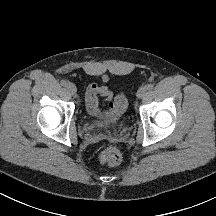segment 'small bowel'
Listing matches in <instances>:
<instances>
[{
	"label": "small bowel",
	"mask_w": 216,
	"mask_h": 216,
	"mask_svg": "<svg viewBox=\"0 0 216 216\" xmlns=\"http://www.w3.org/2000/svg\"><path fill=\"white\" fill-rule=\"evenodd\" d=\"M113 93L106 85H97L88 83L85 86V102L88 113L98 119H106L107 123H112L116 120L117 115L112 110L104 109L100 100L111 102Z\"/></svg>",
	"instance_id": "obj_1"
}]
</instances>
